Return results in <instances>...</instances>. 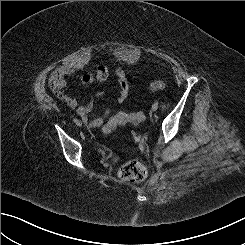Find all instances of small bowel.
<instances>
[{
	"label": "small bowel",
	"instance_id": "c3829d8e",
	"mask_svg": "<svg viewBox=\"0 0 245 245\" xmlns=\"http://www.w3.org/2000/svg\"><path fill=\"white\" fill-rule=\"evenodd\" d=\"M79 70L78 66L67 65L56 68L50 75L49 87L56 96V98L66 103L72 108L83 120L88 128H97L104 125L107 118L112 114V109H106L101 116L90 117V113L93 110V97H90L88 102L80 103L77 98L67 94L64 91L66 86V78L75 74ZM110 76L116 78L119 85V93L117 96V102L123 103L129 94V84L124 71L120 68L110 69L106 65H99L93 72L84 73L79 76V80L82 84H90L93 82H104ZM97 97L105 96L104 92H98Z\"/></svg>",
	"mask_w": 245,
	"mask_h": 245
}]
</instances>
